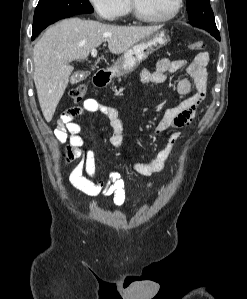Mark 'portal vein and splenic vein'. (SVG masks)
<instances>
[{
  "mask_svg": "<svg viewBox=\"0 0 247 299\" xmlns=\"http://www.w3.org/2000/svg\"><path fill=\"white\" fill-rule=\"evenodd\" d=\"M91 56H92L93 58H95V57L97 56V50H96V49H92V50H91Z\"/></svg>",
  "mask_w": 247,
  "mask_h": 299,
  "instance_id": "1",
  "label": "portal vein and splenic vein"
}]
</instances>
